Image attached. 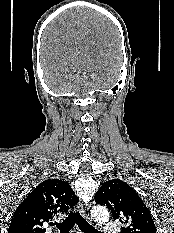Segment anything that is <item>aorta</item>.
<instances>
[{
	"mask_svg": "<svg viewBox=\"0 0 174 233\" xmlns=\"http://www.w3.org/2000/svg\"><path fill=\"white\" fill-rule=\"evenodd\" d=\"M91 215L98 223H104L109 220V212L104 206H94L91 210Z\"/></svg>",
	"mask_w": 174,
	"mask_h": 233,
	"instance_id": "762f6f07",
	"label": "aorta"
}]
</instances>
